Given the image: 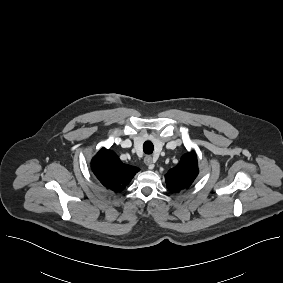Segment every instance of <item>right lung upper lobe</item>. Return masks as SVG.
<instances>
[{
	"label": "right lung upper lobe",
	"instance_id": "cb5924a9",
	"mask_svg": "<svg viewBox=\"0 0 283 283\" xmlns=\"http://www.w3.org/2000/svg\"><path fill=\"white\" fill-rule=\"evenodd\" d=\"M91 167L98 180L114 192L122 191L139 171L137 167L122 163L114 152L105 148L92 159Z\"/></svg>",
	"mask_w": 283,
	"mask_h": 283
}]
</instances>
